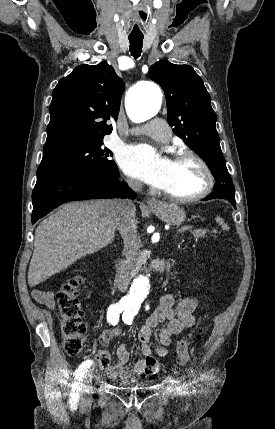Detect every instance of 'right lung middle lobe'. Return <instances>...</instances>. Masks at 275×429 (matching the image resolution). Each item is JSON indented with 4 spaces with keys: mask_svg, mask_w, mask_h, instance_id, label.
Returning a JSON list of instances; mask_svg holds the SVG:
<instances>
[{
    "mask_svg": "<svg viewBox=\"0 0 275 429\" xmlns=\"http://www.w3.org/2000/svg\"><path fill=\"white\" fill-rule=\"evenodd\" d=\"M103 140L88 144H70L43 154L37 170L36 185L67 174L101 173L119 174L112 152L102 146Z\"/></svg>",
    "mask_w": 275,
    "mask_h": 429,
    "instance_id": "obj_1",
    "label": "right lung middle lobe"
}]
</instances>
